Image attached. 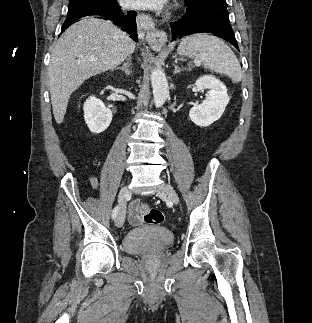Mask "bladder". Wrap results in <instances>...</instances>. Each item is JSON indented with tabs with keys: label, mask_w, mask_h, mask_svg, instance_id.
Segmentation results:
<instances>
[{
	"label": "bladder",
	"mask_w": 312,
	"mask_h": 323,
	"mask_svg": "<svg viewBox=\"0 0 312 323\" xmlns=\"http://www.w3.org/2000/svg\"><path fill=\"white\" fill-rule=\"evenodd\" d=\"M173 238L165 229L138 228L125 236L124 250L135 255L145 252L163 251L171 245Z\"/></svg>",
	"instance_id": "1"
}]
</instances>
